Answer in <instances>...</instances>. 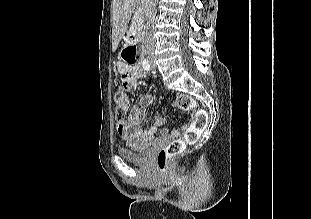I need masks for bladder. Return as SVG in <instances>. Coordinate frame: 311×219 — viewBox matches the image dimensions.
Returning a JSON list of instances; mask_svg holds the SVG:
<instances>
[{"instance_id": "obj_1", "label": "bladder", "mask_w": 311, "mask_h": 219, "mask_svg": "<svg viewBox=\"0 0 311 219\" xmlns=\"http://www.w3.org/2000/svg\"><path fill=\"white\" fill-rule=\"evenodd\" d=\"M150 145L133 146L131 148L119 147L117 152L119 156L127 161L142 162L149 154Z\"/></svg>"}]
</instances>
